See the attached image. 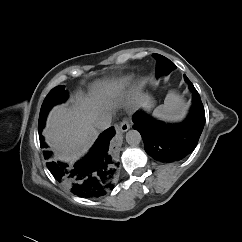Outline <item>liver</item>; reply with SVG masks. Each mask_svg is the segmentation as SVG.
<instances>
[{"instance_id": "obj_1", "label": "liver", "mask_w": 242, "mask_h": 242, "mask_svg": "<svg viewBox=\"0 0 242 242\" xmlns=\"http://www.w3.org/2000/svg\"><path fill=\"white\" fill-rule=\"evenodd\" d=\"M100 86V85H99ZM149 97L139 92L132 95L130 103L137 107L149 106ZM71 105L54 107L47 118L43 135L46 142L61 160H76L85 154L98 136L94 126L96 118L112 108L110 98H84L77 94L71 98Z\"/></svg>"}]
</instances>
